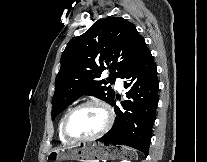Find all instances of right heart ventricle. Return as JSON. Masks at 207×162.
Instances as JSON below:
<instances>
[{
	"mask_svg": "<svg viewBox=\"0 0 207 162\" xmlns=\"http://www.w3.org/2000/svg\"><path fill=\"white\" fill-rule=\"evenodd\" d=\"M62 120H63V119H62ZM61 123H62V121H61ZM61 123H60V126H59V136H60V139H61L62 141H64V140L62 139V137H61V133H60Z\"/></svg>",
	"mask_w": 207,
	"mask_h": 162,
	"instance_id": "right-heart-ventricle-1",
	"label": "right heart ventricle"
}]
</instances>
